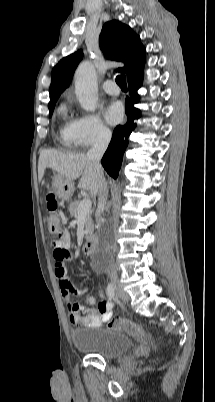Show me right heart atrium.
<instances>
[{"instance_id":"d8ad5b80","label":"right heart atrium","mask_w":215,"mask_h":402,"mask_svg":"<svg viewBox=\"0 0 215 402\" xmlns=\"http://www.w3.org/2000/svg\"><path fill=\"white\" fill-rule=\"evenodd\" d=\"M71 133L74 144L81 148L105 143L111 135L100 116L93 113L84 114L73 120Z\"/></svg>"}]
</instances>
